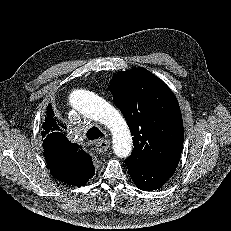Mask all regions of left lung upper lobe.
<instances>
[{
  "mask_svg": "<svg viewBox=\"0 0 231 231\" xmlns=\"http://www.w3.org/2000/svg\"><path fill=\"white\" fill-rule=\"evenodd\" d=\"M109 90L125 116L134 149L127 162L177 166L183 147V122L170 88L144 68L118 72Z\"/></svg>",
  "mask_w": 231,
  "mask_h": 231,
  "instance_id": "left-lung-upper-lobe-1",
  "label": "left lung upper lobe"
}]
</instances>
